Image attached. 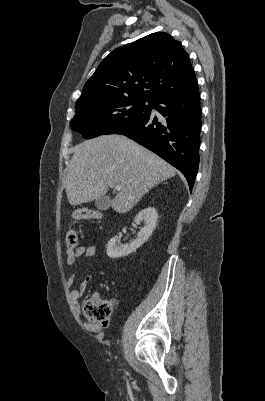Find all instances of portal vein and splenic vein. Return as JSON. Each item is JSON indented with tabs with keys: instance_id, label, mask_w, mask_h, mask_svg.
Wrapping results in <instances>:
<instances>
[{
	"instance_id": "obj_1",
	"label": "portal vein and splenic vein",
	"mask_w": 265,
	"mask_h": 401,
	"mask_svg": "<svg viewBox=\"0 0 265 401\" xmlns=\"http://www.w3.org/2000/svg\"><path fill=\"white\" fill-rule=\"evenodd\" d=\"M115 188L116 190H121L122 186H120V184H116Z\"/></svg>"
}]
</instances>
